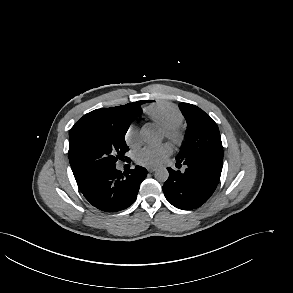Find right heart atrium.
Instances as JSON below:
<instances>
[{
  "label": "right heart atrium",
  "instance_id": "obj_1",
  "mask_svg": "<svg viewBox=\"0 0 293 293\" xmlns=\"http://www.w3.org/2000/svg\"><path fill=\"white\" fill-rule=\"evenodd\" d=\"M124 141L129 147H136L140 143L138 128L131 124L124 133Z\"/></svg>",
  "mask_w": 293,
  "mask_h": 293
}]
</instances>
